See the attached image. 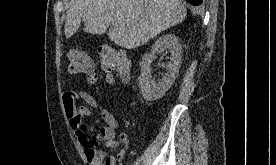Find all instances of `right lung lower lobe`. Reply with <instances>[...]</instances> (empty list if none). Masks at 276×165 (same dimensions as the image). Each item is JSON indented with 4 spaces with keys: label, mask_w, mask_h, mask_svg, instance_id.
Returning <instances> with one entry per match:
<instances>
[{
    "label": "right lung lower lobe",
    "mask_w": 276,
    "mask_h": 165,
    "mask_svg": "<svg viewBox=\"0 0 276 165\" xmlns=\"http://www.w3.org/2000/svg\"><path fill=\"white\" fill-rule=\"evenodd\" d=\"M186 1L194 6H198V5L202 4V2H203V0H186Z\"/></svg>",
    "instance_id": "98d812e1"
}]
</instances>
